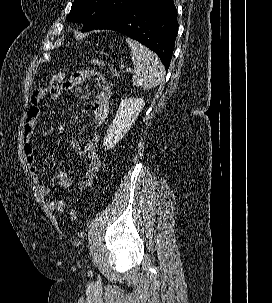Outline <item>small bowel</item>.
<instances>
[{"mask_svg": "<svg viewBox=\"0 0 272 303\" xmlns=\"http://www.w3.org/2000/svg\"><path fill=\"white\" fill-rule=\"evenodd\" d=\"M87 80L94 81L98 88V94L92 105L95 129L87 138L72 139L67 144V147L71 148L77 156L86 158L88 162L84 178L77 184V188L80 190L89 189L93 185L97 173L101 169V160L96 148L100 139L99 129L109 115L110 102L112 99V91L106 78L93 70H81L74 73L70 79L64 82L63 89L66 91L72 90ZM46 93L47 89L41 88L35 90L32 94L31 104L27 112L24 127V153L31 177L39 192L47 199L48 205L52 211L61 213L66 209V202L63 199L51 197L52 189L41 179L34 149L38 118ZM51 132V129H46L42 132V135H49ZM53 183L61 189H67L71 186L72 180L65 171L57 170L53 174Z\"/></svg>", "mask_w": 272, "mask_h": 303, "instance_id": "c3829d8e", "label": "small bowel"}]
</instances>
